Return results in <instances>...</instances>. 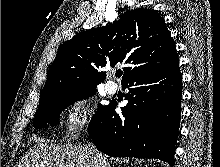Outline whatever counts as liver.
I'll list each match as a JSON object with an SVG mask.
<instances>
[{"instance_id":"obj_1","label":"liver","mask_w":220,"mask_h":167,"mask_svg":"<svg viewBox=\"0 0 220 167\" xmlns=\"http://www.w3.org/2000/svg\"><path fill=\"white\" fill-rule=\"evenodd\" d=\"M37 145L22 157L17 167H95L87 146H71L36 140Z\"/></svg>"}]
</instances>
